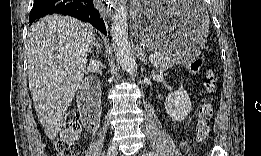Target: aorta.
<instances>
[{"mask_svg": "<svg viewBox=\"0 0 261 156\" xmlns=\"http://www.w3.org/2000/svg\"><path fill=\"white\" fill-rule=\"evenodd\" d=\"M127 9L126 1H120L113 17L111 34L118 62L129 74H133L136 63L128 39Z\"/></svg>", "mask_w": 261, "mask_h": 156, "instance_id": "762f6f07", "label": "aorta"}]
</instances>
